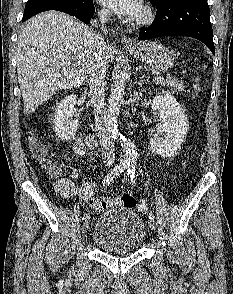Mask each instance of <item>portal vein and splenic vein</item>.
<instances>
[{
    "mask_svg": "<svg viewBox=\"0 0 233 294\" xmlns=\"http://www.w3.org/2000/svg\"><path fill=\"white\" fill-rule=\"evenodd\" d=\"M164 77L160 76V77H155V81L159 82V81H163Z\"/></svg>",
    "mask_w": 233,
    "mask_h": 294,
    "instance_id": "18ae733b",
    "label": "portal vein and splenic vein"
}]
</instances>
